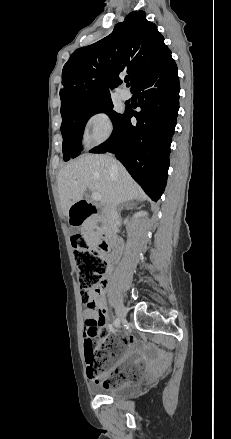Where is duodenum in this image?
<instances>
[{"instance_id": "1", "label": "duodenum", "mask_w": 231, "mask_h": 439, "mask_svg": "<svg viewBox=\"0 0 231 439\" xmlns=\"http://www.w3.org/2000/svg\"><path fill=\"white\" fill-rule=\"evenodd\" d=\"M73 208L74 214L72 215V220H77L78 224L85 223L91 219H96L99 213V206L95 203H89L87 201H79L74 205ZM96 245L111 262L112 257L110 242L105 237L98 236Z\"/></svg>"}]
</instances>
